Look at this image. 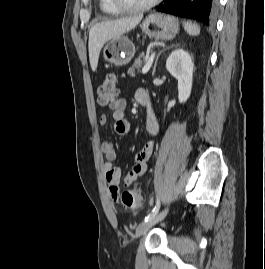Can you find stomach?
<instances>
[{
	"instance_id": "1",
	"label": "stomach",
	"mask_w": 265,
	"mask_h": 269,
	"mask_svg": "<svg viewBox=\"0 0 265 269\" xmlns=\"http://www.w3.org/2000/svg\"><path fill=\"white\" fill-rule=\"evenodd\" d=\"M142 31L149 37L170 40L178 33L177 21L169 15L151 14L140 25ZM135 54L134 44L125 36L109 40L103 49L106 61L123 66L131 61Z\"/></svg>"
}]
</instances>
